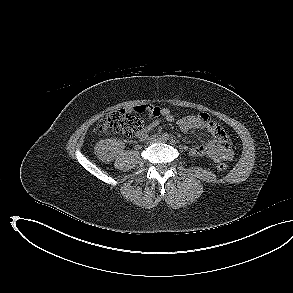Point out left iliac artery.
<instances>
[{
  "instance_id": "obj_1",
  "label": "left iliac artery",
  "mask_w": 293,
  "mask_h": 293,
  "mask_svg": "<svg viewBox=\"0 0 293 293\" xmlns=\"http://www.w3.org/2000/svg\"><path fill=\"white\" fill-rule=\"evenodd\" d=\"M170 143L171 144H175V140L171 137V139H170Z\"/></svg>"
}]
</instances>
